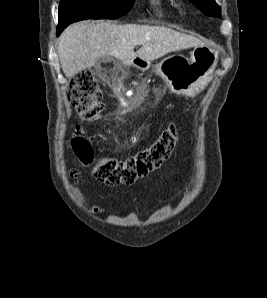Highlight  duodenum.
Here are the masks:
<instances>
[{
  "label": "duodenum",
  "mask_w": 267,
  "mask_h": 298,
  "mask_svg": "<svg viewBox=\"0 0 267 298\" xmlns=\"http://www.w3.org/2000/svg\"><path fill=\"white\" fill-rule=\"evenodd\" d=\"M126 65L127 66H130V67L137 66V64L134 61H132V60L126 61Z\"/></svg>",
  "instance_id": "obj_1"
}]
</instances>
